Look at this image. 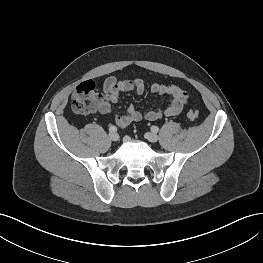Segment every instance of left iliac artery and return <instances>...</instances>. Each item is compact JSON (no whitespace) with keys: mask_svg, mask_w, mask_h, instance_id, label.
Returning <instances> with one entry per match:
<instances>
[{"mask_svg":"<svg viewBox=\"0 0 263 263\" xmlns=\"http://www.w3.org/2000/svg\"><path fill=\"white\" fill-rule=\"evenodd\" d=\"M151 131L157 133L159 131V128L157 126H152Z\"/></svg>","mask_w":263,"mask_h":263,"instance_id":"left-iliac-artery-1","label":"left iliac artery"}]
</instances>
